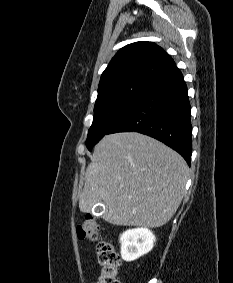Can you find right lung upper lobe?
Segmentation results:
<instances>
[{
  "label": "right lung upper lobe",
  "instance_id": "1",
  "mask_svg": "<svg viewBox=\"0 0 233 283\" xmlns=\"http://www.w3.org/2000/svg\"><path fill=\"white\" fill-rule=\"evenodd\" d=\"M174 60L152 42H135L121 48L102 73L98 91L130 80L152 81L175 68Z\"/></svg>",
  "mask_w": 233,
  "mask_h": 283
}]
</instances>
